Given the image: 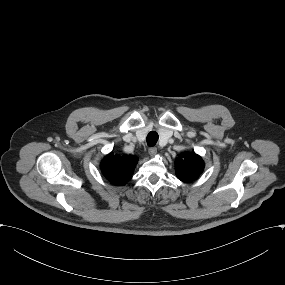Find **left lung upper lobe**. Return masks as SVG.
<instances>
[{
	"mask_svg": "<svg viewBox=\"0 0 285 285\" xmlns=\"http://www.w3.org/2000/svg\"><path fill=\"white\" fill-rule=\"evenodd\" d=\"M203 170L204 161L195 153L183 152L175 161L176 176L183 182L197 179Z\"/></svg>",
	"mask_w": 285,
	"mask_h": 285,
	"instance_id": "5c2ea615",
	"label": "left lung upper lobe"
}]
</instances>
